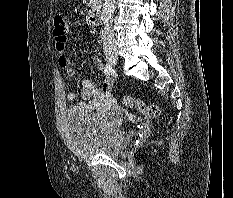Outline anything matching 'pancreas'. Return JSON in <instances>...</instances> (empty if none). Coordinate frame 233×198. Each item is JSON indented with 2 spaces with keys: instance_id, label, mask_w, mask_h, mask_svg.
I'll list each match as a JSON object with an SVG mask.
<instances>
[{
  "instance_id": "cf45deb5",
  "label": "pancreas",
  "mask_w": 233,
  "mask_h": 198,
  "mask_svg": "<svg viewBox=\"0 0 233 198\" xmlns=\"http://www.w3.org/2000/svg\"><path fill=\"white\" fill-rule=\"evenodd\" d=\"M102 0H88V6L91 8H96L101 6Z\"/></svg>"
}]
</instances>
